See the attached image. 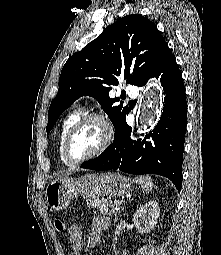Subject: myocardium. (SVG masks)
I'll use <instances>...</instances> for the list:
<instances>
[{
    "label": "myocardium",
    "instance_id": "1",
    "mask_svg": "<svg viewBox=\"0 0 221 255\" xmlns=\"http://www.w3.org/2000/svg\"><path fill=\"white\" fill-rule=\"evenodd\" d=\"M89 121H97L102 125L103 130H104V139H103L101 145L93 153L89 154L88 156H86L84 158L75 159L72 157V155L70 153L71 141H72L74 135L76 134V132ZM113 134H114L113 125L107 116H105L102 113H97V112L85 114V115L81 116L73 124V126L69 129V131L65 137L64 144H63V156H64L65 160L68 163H70L71 165H79V164L85 163V162L101 155L108 148V146L110 145V143L112 141Z\"/></svg>",
    "mask_w": 221,
    "mask_h": 255
}]
</instances>
